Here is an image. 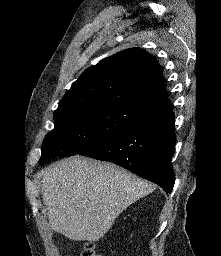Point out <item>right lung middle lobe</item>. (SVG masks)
I'll list each match as a JSON object with an SVG mask.
<instances>
[{
	"label": "right lung middle lobe",
	"instance_id": "obj_1",
	"mask_svg": "<svg viewBox=\"0 0 221 256\" xmlns=\"http://www.w3.org/2000/svg\"><path fill=\"white\" fill-rule=\"evenodd\" d=\"M55 128L43 141L39 163L79 154L105 137L143 120L121 107L100 105L54 113Z\"/></svg>",
	"mask_w": 221,
	"mask_h": 256
}]
</instances>
